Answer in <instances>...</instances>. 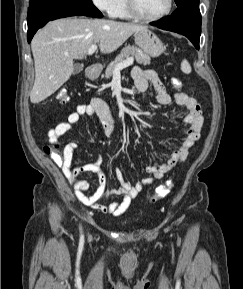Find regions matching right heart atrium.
I'll use <instances>...</instances> for the list:
<instances>
[{
    "mask_svg": "<svg viewBox=\"0 0 243 289\" xmlns=\"http://www.w3.org/2000/svg\"><path fill=\"white\" fill-rule=\"evenodd\" d=\"M121 0H92L93 4L102 12L113 16Z\"/></svg>",
    "mask_w": 243,
    "mask_h": 289,
    "instance_id": "1",
    "label": "right heart atrium"
}]
</instances>
